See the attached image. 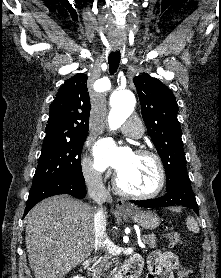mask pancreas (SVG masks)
I'll use <instances>...</instances> for the list:
<instances>
[{
  "mask_svg": "<svg viewBox=\"0 0 221 278\" xmlns=\"http://www.w3.org/2000/svg\"><path fill=\"white\" fill-rule=\"evenodd\" d=\"M142 240L150 248H156V246H157V240H156L155 235H153V234L143 235ZM108 267H109V264L106 265V268H104V270L107 269ZM102 270H103V265L96 268V272L98 274H100L102 272Z\"/></svg>",
  "mask_w": 221,
  "mask_h": 278,
  "instance_id": "1",
  "label": "pancreas"
}]
</instances>
